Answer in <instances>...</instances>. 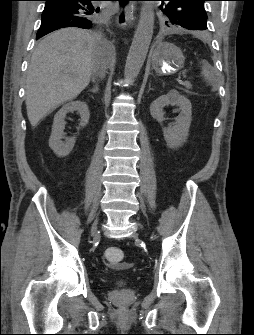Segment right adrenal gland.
Instances as JSON below:
<instances>
[{"label":"right adrenal gland","mask_w":254,"mask_h":335,"mask_svg":"<svg viewBox=\"0 0 254 335\" xmlns=\"http://www.w3.org/2000/svg\"><path fill=\"white\" fill-rule=\"evenodd\" d=\"M98 83H95L94 87L90 90L92 93H97L98 92Z\"/></svg>","instance_id":"right-adrenal-gland-1"}]
</instances>
